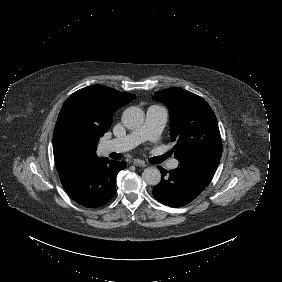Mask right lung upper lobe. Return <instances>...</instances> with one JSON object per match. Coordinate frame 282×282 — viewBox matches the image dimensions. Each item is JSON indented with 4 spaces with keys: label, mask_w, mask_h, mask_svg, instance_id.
<instances>
[{
    "label": "right lung upper lobe",
    "mask_w": 282,
    "mask_h": 282,
    "mask_svg": "<svg viewBox=\"0 0 282 282\" xmlns=\"http://www.w3.org/2000/svg\"><path fill=\"white\" fill-rule=\"evenodd\" d=\"M135 97L104 85L89 86L73 93L63 104L54 128L57 171L97 158V142L111 127L113 113Z\"/></svg>",
    "instance_id": "right-lung-upper-lobe-1"
}]
</instances>
